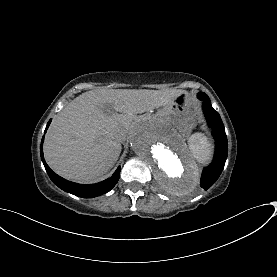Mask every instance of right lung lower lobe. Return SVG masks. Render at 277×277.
Returning <instances> with one entry per match:
<instances>
[{"label":"right lung lower lobe","instance_id":"right-lung-lower-lobe-1","mask_svg":"<svg viewBox=\"0 0 277 277\" xmlns=\"http://www.w3.org/2000/svg\"><path fill=\"white\" fill-rule=\"evenodd\" d=\"M50 122H51V120L48 122L44 133H46ZM43 141H44V136H43L42 142H41V150H40L41 159L43 161L44 167H45L50 179L60 189L66 191L68 193H71L73 195L79 196V197L93 198V197H97V196L107 193L118 182L119 177H120V170H121L120 166L117 168V170L114 172V174L109 179H106V180L96 183V184L82 185V184L73 183V182L63 179L62 177L55 174L49 168V166L46 164L44 157H43V151H42Z\"/></svg>","mask_w":277,"mask_h":277}]
</instances>
